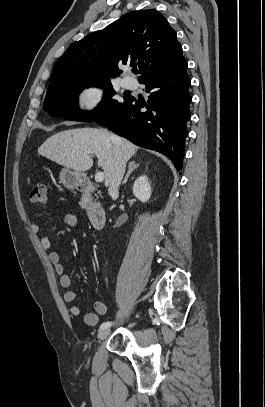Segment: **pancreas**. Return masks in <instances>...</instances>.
<instances>
[{"label":"pancreas","mask_w":265,"mask_h":407,"mask_svg":"<svg viewBox=\"0 0 265 407\" xmlns=\"http://www.w3.org/2000/svg\"><path fill=\"white\" fill-rule=\"evenodd\" d=\"M87 204H88L87 198L85 196H83L79 205L81 206V208H87Z\"/></svg>","instance_id":"cf45deb5"}]
</instances>
